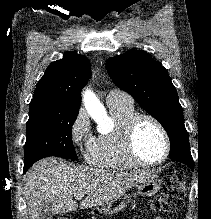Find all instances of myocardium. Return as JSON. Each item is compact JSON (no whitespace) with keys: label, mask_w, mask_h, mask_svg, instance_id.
<instances>
[{"label":"myocardium","mask_w":211,"mask_h":219,"mask_svg":"<svg viewBox=\"0 0 211 219\" xmlns=\"http://www.w3.org/2000/svg\"><path fill=\"white\" fill-rule=\"evenodd\" d=\"M142 120H149L153 122L160 130L164 139V145H165L164 154L160 160L153 163H148L141 160V158L139 157L136 151L135 133L139 123ZM123 146L129 160L132 163H134L136 166L142 168H156L163 165L168 160L171 153V141L166 128L158 118L148 113H136L127 121L123 131Z\"/></svg>","instance_id":"f54148a6"}]
</instances>
